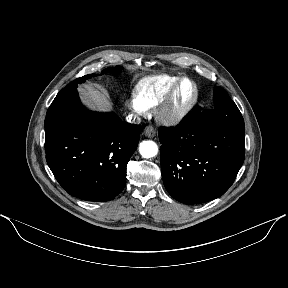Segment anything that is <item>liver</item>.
I'll list each match as a JSON object with an SVG mask.
<instances>
[{"mask_svg": "<svg viewBox=\"0 0 288 288\" xmlns=\"http://www.w3.org/2000/svg\"><path fill=\"white\" fill-rule=\"evenodd\" d=\"M83 101L85 104L94 110L108 111L112 104L109 100V96L94 87H85L80 89Z\"/></svg>", "mask_w": 288, "mask_h": 288, "instance_id": "obj_1", "label": "liver"}]
</instances>
